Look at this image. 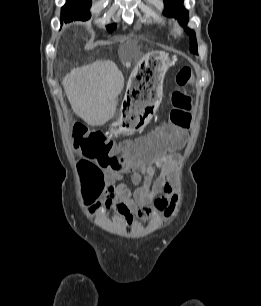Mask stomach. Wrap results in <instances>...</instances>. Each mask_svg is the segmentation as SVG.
<instances>
[{"label": "stomach", "mask_w": 261, "mask_h": 306, "mask_svg": "<svg viewBox=\"0 0 261 306\" xmlns=\"http://www.w3.org/2000/svg\"><path fill=\"white\" fill-rule=\"evenodd\" d=\"M148 71L147 76L128 86L120 111V125L126 132L142 130L156 112L163 95V81L172 60L168 53L154 51L140 62Z\"/></svg>", "instance_id": "obj_1"}]
</instances>
